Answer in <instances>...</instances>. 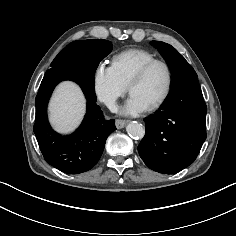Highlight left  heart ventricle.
Wrapping results in <instances>:
<instances>
[{
    "label": "left heart ventricle",
    "mask_w": 236,
    "mask_h": 236,
    "mask_svg": "<svg viewBox=\"0 0 236 236\" xmlns=\"http://www.w3.org/2000/svg\"><path fill=\"white\" fill-rule=\"evenodd\" d=\"M167 85V72L162 65L154 66L142 82L133 87L131 94L138 96L148 107L163 95Z\"/></svg>",
    "instance_id": "obj_1"
}]
</instances>
